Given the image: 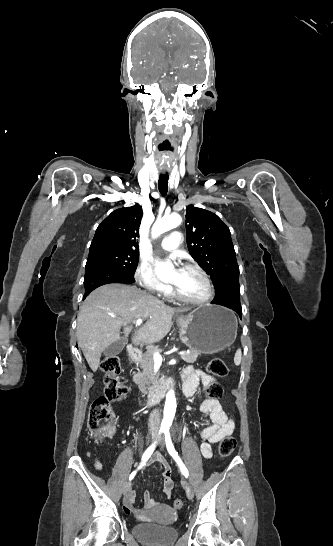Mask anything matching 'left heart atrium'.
I'll list each match as a JSON object with an SVG mask.
<instances>
[{
    "label": "left heart atrium",
    "mask_w": 333,
    "mask_h": 546,
    "mask_svg": "<svg viewBox=\"0 0 333 546\" xmlns=\"http://www.w3.org/2000/svg\"><path fill=\"white\" fill-rule=\"evenodd\" d=\"M183 272H184V270L181 269V268L177 270L176 275H177L178 280H180L182 278Z\"/></svg>",
    "instance_id": "left-heart-atrium-1"
}]
</instances>
